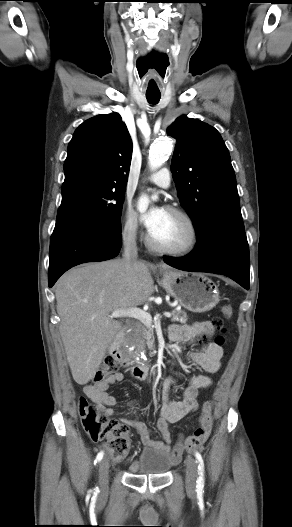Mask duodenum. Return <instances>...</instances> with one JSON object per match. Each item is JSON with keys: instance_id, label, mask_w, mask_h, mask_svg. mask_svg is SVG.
I'll use <instances>...</instances> for the list:
<instances>
[{"instance_id": "1", "label": "duodenum", "mask_w": 292, "mask_h": 527, "mask_svg": "<svg viewBox=\"0 0 292 527\" xmlns=\"http://www.w3.org/2000/svg\"><path fill=\"white\" fill-rule=\"evenodd\" d=\"M124 337V330H121L120 332H118V334L116 335V338H115V341L111 347V351L112 353L117 356L118 358H121L122 354H121V350H120V342L122 341ZM148 371H149V367L146 366V365H143V366H135L133 368V374L135 377L137 378H143L145 377L147 374H148Z\"/></svg>"}]
</instances>
